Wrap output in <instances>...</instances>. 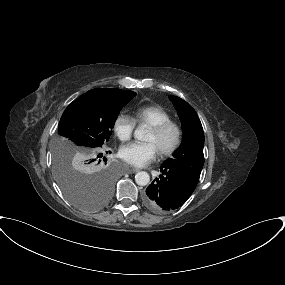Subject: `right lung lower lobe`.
Segmentation results:
<instances>
[{"instance_id":"1","label":"right lung lower lobe","mask_w":285,"mask_h":285,"mask_svg":"<svg viewBox=\"0 0 285 285\" xmlns=\"http://www.w3.org/2000/svg\"><path fill=\"white\" fill-rule=\"evenodd\" d=\"M96 160V159H94ZM99 160V159H98ZM101 160H99L100 162ZM99 162L97 161L94 164H91L90 166H88V170L91 172H100L105 166L103 164L99 165ZM106 165V163H105Z\"/></svg>"}]
</instances>
